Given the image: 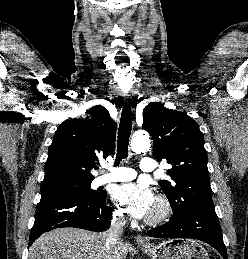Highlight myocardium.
Returning <instances> with one entry per match:
<instances>
[{"mask_svg":"<svg viewBox=\"0 0 248 259\" xmlns=\"http://www.w3.org/2000/svg\"><path fill=\"white\" fill-rule=\"evenodd\" d=\"M159 206V212L153 216H147L146 224L155 226L164 223L173 213V207L170 200L163 194H158L155 198Z\"/></svg>","mask_w":248,"mask_h":259,"instance_id":"f54148a6","label":"myocardium"}]
</instances>
